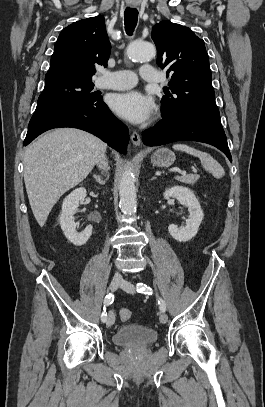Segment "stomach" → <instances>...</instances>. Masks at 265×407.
<instances>
[{
	"instance_id": "1",
	"label": "stomach",
	"mask_w": 265,
	"mask_h": 407,
	"mask_svg": "<svg viewBox=\"0 0 265 407\" xmlns=\"http://www.w3.org/2000/svg\"><path fill=\"white\" fill-rule=\"evenodd\" d=\"M174 161L175 154L167 148H160L151 156L152 164L161 168L170 167Z\"/></svg>"
}]
</instances>
